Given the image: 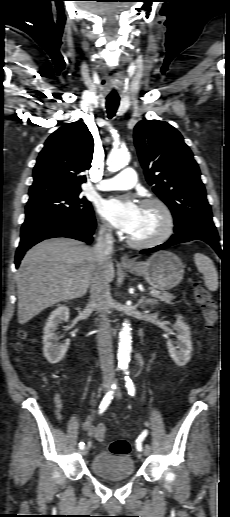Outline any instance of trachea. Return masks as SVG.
Masks as SVG:
<instances>
[{
    "instance_id": "1",
    "label": "trachea",
    "mask_w": 230,
    "mask_h": 517,
    "mask_svg": "<svg viewBox=\"0 0 230 517\" xmlns=\"http://www.w3.org/2000/svg\"><path fill=\"white\" fill-rule=\"evenodd\" d=\"M120 98L118 96L109 95L106 98V111L108 118L111 119L115 116L118 106H119Z\"/></svg>"
}]
</instances>
